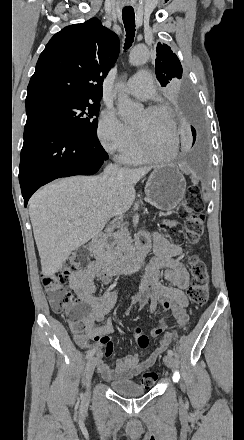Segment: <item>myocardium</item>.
<instances>
[{"label": "myocardium", "mask_w": 244, "mask_h": 440, "mask_svg": "<svg viewBox=\"0 0 244 440\" xmlns=\"http://www.w3.org/2000/svg\"><path fill=\"white\" fill-rule=\"evenodd\" d=\"M149 110H158V111H168L169 114V118H170V124L167 128V134H168V148L165 149L163 147V145L161 143H159L157 146H148L146 144V142H144V138L143 135L144 133H142L140 130H138L136 127V131L138 133V135L140 136V138H137V143H140L139 145L141 147H149V148H159L162 152L164 151H168V153L166 155H160L156 158H153V160L161 165H168L170 162H172L175 158V142H176V134H175V128L174 125L172 123H175V118L173 115V111L169 109V107L167 105L164 104H156V105H151L148 108H146V111Z\"/></svg>", "instance_id": "myocardium-1"}]
</instances>
